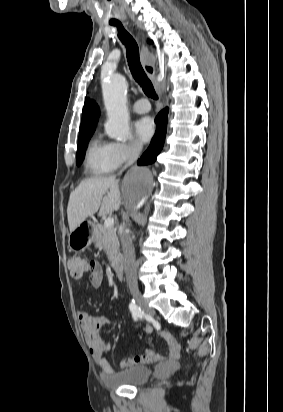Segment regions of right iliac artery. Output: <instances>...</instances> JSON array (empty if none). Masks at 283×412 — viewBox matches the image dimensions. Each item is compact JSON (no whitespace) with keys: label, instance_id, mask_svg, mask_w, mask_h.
Segmentation results:
<instances>
[{"label":"right iliac artery","instance_id":"82829eb1","mask_svg":"<svg viewBox=\"0 0 283 412\" xmlns=\"http://www.w3.org/2000/svg\"><path fill=\"white\" fill-rule=\"evenodd\" d=\"M129 309L135 321L145 316L144 311L135 303L134 300H132L131 303L129 304Z\"/></svg>","mask_w":283,"mask_h":412}]
</instances>
